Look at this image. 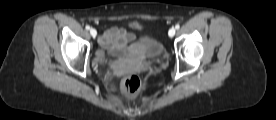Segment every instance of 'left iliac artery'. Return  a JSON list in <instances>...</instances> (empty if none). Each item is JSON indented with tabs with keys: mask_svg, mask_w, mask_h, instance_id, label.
<instances>
[{
	"mask_svg": "<svg viewBox=\"0 0 276 120\" xmlns=\"http://www.w3.org/2000/svg\"><path fill=\"white\" fill-rule=\"evenodd\" d=\"M179 28H180V25H179V24H176V25H175V29L178 30Z\"/></svg>",
	"mask_w": 276,
	"mask_h": 120,
	"instance_id": "1",
	"label": "left iliac artery"
}]
</instances>
